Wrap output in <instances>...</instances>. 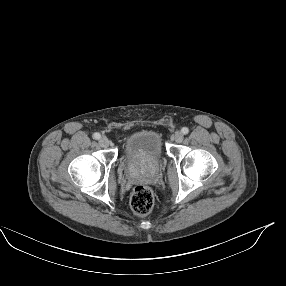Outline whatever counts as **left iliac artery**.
I'll use <instances>...</instances> for the list:
<instances>
[{
    "instance_id": "44dca946",
    "label": "left iliac artery",
    "mask_w": 286,
    "mask_h": 286,
    "mask_svg": "<svg viewBox=\"0 0 286 286\" xmlns=\"http://www.w3.org/2000/svg\"><path fill=\"white\" fill-rule=\"evenodd\" d=\"M181 131H182L183 134H188L189 133V129L187 127H183Z\"/></svg>"
}]
</instances>
